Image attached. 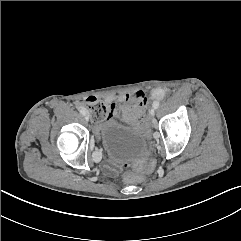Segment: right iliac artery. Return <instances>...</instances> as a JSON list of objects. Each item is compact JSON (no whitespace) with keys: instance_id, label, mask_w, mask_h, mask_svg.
I'll return each instance as SVG.
<instances>
[{"instance_id":"1","label":"right iliac artery","mask_w":241,"mask_h":241,"mask_svg":"<svg viewBox=\"0 0 241 241\" xmlns=\"http://www.w3.org/2000/svg\"><path fill=\"white\" fill-rule=\"evenodd\" d=\"M80 113L83 114V115H85V114H86V111L83 110V109H81V110H80Z\"/></svg>"}]
</instances>
